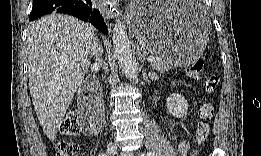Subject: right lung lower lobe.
Returning a JSON list of instances; mask_svg holds the SVG:
<instances>
[{"instance_id": "obj_1", "label": "right lung lower lobe", "mask_w": 261, "mask_h": 156, "mask_svg": "<svg viewBox=\"0 0 261 156\" xmlns=\"http://www.w3.org/2000/svg\"><path fill=\"white\" fill-rule=\"evenodd\" d=\"M51 12L65 13L89 21L99 31L108 34L104 19L91 0H34L30 20Z\"/></svg>"}]
</instances>
